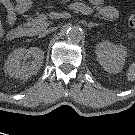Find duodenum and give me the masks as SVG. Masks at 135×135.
I'll list each match as a JSON object with an SVG mask.
<instances>
[{"label": "duodenum", "mask_w": 135, "mask_h": 135, "mask_svg": "<svg viewBox=\"0 0 135 135\" xmlns=\"http://www.w3.org/2000/svg\"><path fill=\"white\" fill-rule=\"evenodd\" d=\"M26 34L25 29H13L12 34H10L13 38H20Z\"/></svg>", "instance_id": "duodenum-1"}]
</instances>
